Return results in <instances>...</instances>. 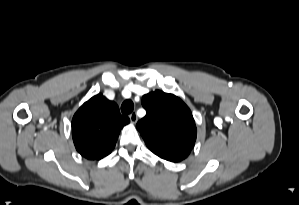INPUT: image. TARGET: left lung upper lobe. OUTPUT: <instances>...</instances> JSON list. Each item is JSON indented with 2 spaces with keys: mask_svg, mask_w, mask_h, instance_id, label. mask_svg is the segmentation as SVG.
Returning <instances> with one entry per match:
<instances>
[{
  "mask_svg": "<svg viewBox=\"0 0 299 205\" xmlns=\"http://www.w3.org/2000/svg\"><path fill=\"white\" fill-rule=\"evenodd\" d=\"M142 105L147 113L137 123V129L153 153L194 147L195 121L179 97L156 90L142 97Z\"/></svg>",
  "mask_w": 299,
  "mask_h": 205,
  "instance_id": "obj_1",
  "label": "left lung upper lobe"
}]
</instances>
